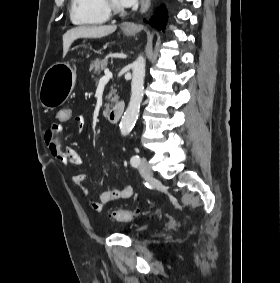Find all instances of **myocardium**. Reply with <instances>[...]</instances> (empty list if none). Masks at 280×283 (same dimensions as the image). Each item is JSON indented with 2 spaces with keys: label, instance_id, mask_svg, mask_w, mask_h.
Segmentation results:
<instances>
[{
  "label": "myocardium",
  "instance_id": "1",
  "mask_svg": "<svg viewBox=\"0 0 280 283\" xmlns=\"http://www.w3.org/2000/svg\"><path fill=\"white\" fill-rule=\"evenodd\" d=\"M102 5L109 15H118L124 13V8L115 5L112 0H101Z\"/></svg>",
  "mask_w": 280,
  "mask_h": 283
}]
</instances>
